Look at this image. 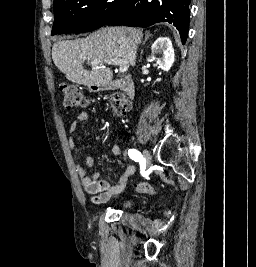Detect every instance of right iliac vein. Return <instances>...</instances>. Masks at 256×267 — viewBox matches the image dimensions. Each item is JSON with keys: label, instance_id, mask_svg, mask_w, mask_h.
Wrapping results in <instances>:
<instances>
[{"label": "right iliac vein", "instance_id": "right-iliac-vein-1", "mask_svg": "<svg viewBox=\"0 0 256 267\" xmlns=\"http://www.w3.org/2000/svg\"><path fill=\"white\" fill-rule=\"evenodd\" d=\"M143 159H144L145 165L149 167L151 165L152 158H151L150 153L147 150L143 151Z\"/></svg>", "mask_w": 256, "mask_h": 267}]
</instances>
